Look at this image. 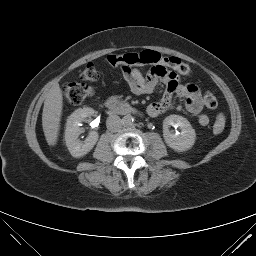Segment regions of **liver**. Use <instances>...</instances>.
I'll return each instance as SVG.
<instances>
[{
    "mask_svg": "<svg viewBox=\"0 0 256 256\" xmlns=\"http://www.w3.org/2000/svg\"><path fill=\"white\" fill-rule=\"evenodd\" d=\"M63 107V97L59 84H54L49 90L44 101L42 113V127L48 145L57 143L60 119Z\"/></svg>",
    "mask_w": 256,
    "mask_h": 256,
    "instance_id": "6515ba94",
    "label": "liver"
}]
</instances>
